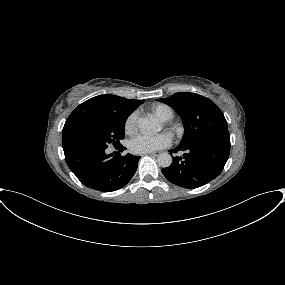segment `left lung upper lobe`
<instances>
[{
	"label": "left lung upper lobe",
	"instance_id": "left-lung-upper-lobe-1",
	"mask_svg": "<svg viewBox=\"0 0 285 285\" xmlns=\"http://www.w3.org/2000/svg\"><path fill=\"white\" fill-rule=\"evenodd\" d=\"M158 100L171 106L183 120L185 133L180 145L204 138L230 141L227 121L210 99L196 93L179 92Z\"/></svg>",
	"mask_w": 285,
	"mask_h": 285
}]
</instances>
